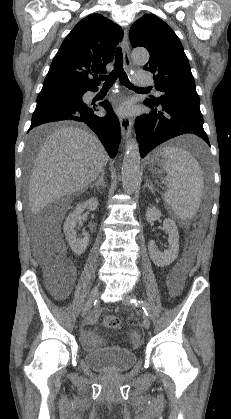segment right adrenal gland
Wrapping results in <instances>:
<instances>
[{
    "label": "right adrenal gland",
    "instance_id": "right-adrenal-gland-1",
    "mask_svg": "<svg viewBox=\"0 0 231 419\" xmlns=\"http://www.w3.org/2000/svg\"><path fill=\"white\" fill-rule=\"evenodd\" d=\"M104 178H105V172L103 171L98 177V180L90 186L91 189L94 187H96L97 189H99L100 187L104 188L106 186Z\"/></svg>",
    "mask_w": 231,
    "mask_h": 419
}]
</instances>
